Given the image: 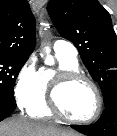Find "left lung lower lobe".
Instances as JSON below:
<instances>
[{
    "mask_svg": "<svg viewBox=\"0 0 117 136\" xmlns=\"http://www.w3.org/2000/svg\"><path fill=\"white\" fill-rule=\"evenodd\" d=\"M71 127L88 136H117V98L105 106L103 114L95 124Z\"/></svg>",
    "mask_w": 117,
    "mask_h": 136,
    "instance_id": "left-lung-lower-lobe-1",
    "label": "left lung lower lobe"
}]
</instances>
